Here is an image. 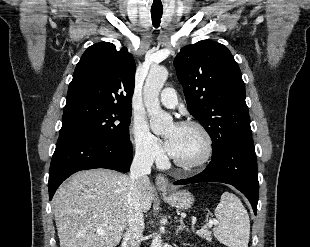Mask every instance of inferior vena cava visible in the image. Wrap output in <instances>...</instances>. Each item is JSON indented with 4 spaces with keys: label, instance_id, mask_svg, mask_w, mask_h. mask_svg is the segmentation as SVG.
I'll return each instance as SVG.
<instances>
[{
    "label": "inferior vena cava",
    "instance_id": "inferior-vena-cava-1",
    "mask_svg": "<svg viewBox=\"0 0 310 247\" xmlns=\"http://www.w3.org/2000/svg\"><path fill=\"white\" fill-rule=\"evenodd\" d=\"M155 154L149 148L137 147L133 158L130 174L127 177L129 186L128 212L124 242L126 247H139L144 229L143 208L141 204L142 189L148 181Z\"/></svg>",
    "mask_w": 310,
    "mask_h": 247
}]
</instances>
